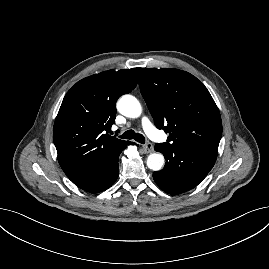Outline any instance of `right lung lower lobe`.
Masks as SVG:
<instances>
[{"instance_id": "1", "label": "right lung lower lobe", "mask_w": 269, "mask_h": 269, "mask_svg": "<svg viewBox=\"0 0 269 269\" xmlns=\"http://www.w3.org/2000/svg\"><path fill=\"white\" fill-rule=\"evenodd\" d=\"M123 149L99 165L92 173L78 182H74L79 188L98 193L108 189L118 178V159Z\"/></svg>"}]
</instances>
